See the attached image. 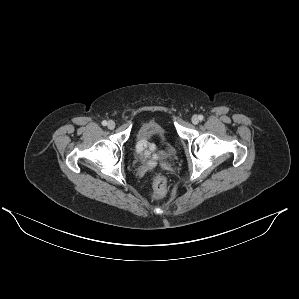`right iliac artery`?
<instances>
[{"label":"right iliac artery","mask_w":299,"mask_h":299,"mask_svg":"<svg viewBox=\"0 0 299 299\" xmlns=\"http://www.w3.org/2000/svg\"><path fill=\"white\" fill-rule=\"evenodd\" d=\"M102 125L106 126L107 125V121L106 120L102 121Z\"/></svg>","instance_id":"right-iliac-artery-1"}]
</instances>
